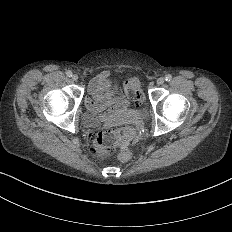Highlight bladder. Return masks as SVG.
Returning a JSON list of instances; mask_svg holds the SVG:
<instances>
[{"mask_svg": "<svg viewBox=\"0 0 232 232\" xmlns=\"http://www.w3.org/2000/svg\"><path fill=\"white\" fill-rule=\"evenodd\" d=\"M141 115H145V110L139 111ZM82 124L86 127H93L100 123V115L95 110H89L83 113L81 118Z\"/></svg>", "mask_w": 232, "mask_h": 232, "instance_id": "31cf9c89", "label": "bladder"}]
</instances>
